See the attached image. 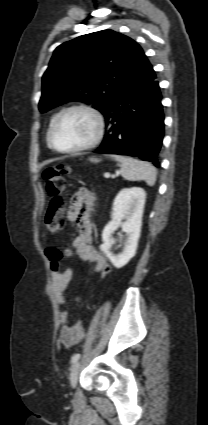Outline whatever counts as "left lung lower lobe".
<instances>
[{"instance_id":"1","label":"left lung lower lobe","mask_w":208,"mask_h":425,"mask_svg":"<svg viewBox=\"0 0 208 425\" xmlns=\"http://www.w3.org/2000/svg\"><path fill=\"white\" fill-rule=\"evenodd\" d=\"M161 99L155 72L146 58L103 112L105 135L95 152L136 156L159 167L157 156L164 136Z\"/></svg>"}]
</instances>
